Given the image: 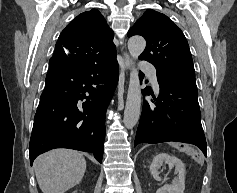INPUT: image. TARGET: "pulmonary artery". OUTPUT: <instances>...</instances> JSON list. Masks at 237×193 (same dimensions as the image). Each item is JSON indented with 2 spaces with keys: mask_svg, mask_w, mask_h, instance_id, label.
Returning a JSON list of instances; mask_svg holds the SVG:
<instances>
[{
  "mask_svg": "<svg viewBox=\"0 0 237 193\" xmlns=\"http://www.w3.org/2000/svg\"><path fill=\"white\" fill-rule=\"evenodd\" d=\"M140 70L149 74L155 89L158 90L159 84H158L157 77H156L155 67L152 64L147 63L146 61H142L140 63Z\"/></svg>",
  "mask_w": 237,
  "mask_h": 193,
  "instance_id": "obj_1",
  "label": "pulmonary artery"
}]
</instances>
